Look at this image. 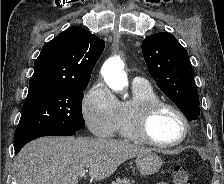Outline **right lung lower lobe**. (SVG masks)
<instances>
[{"mask_svg": "<svg viewBox=\"0 0 224 184\" xmlns=\"http://www.w3.org/2000/svg\"><path fill=\"white\" fill-rule=\"evenodd\" d=\"M77 132L76 131H64V130H48V131H43V132H38L34 133L31 135H28L24 137L21 141H19L17 144H14V150L15 154H18L19 151L22 149V147L27 144L28 142L37 139L42 136H71L75 135Z\"/></svg>", "mask_w": 224, "mask_h": 184, "instance_id": "right-lung-lower-lobe-1", "label": "right lung lower lobe"}]
</instances>
